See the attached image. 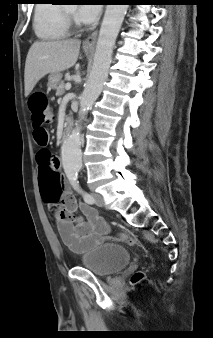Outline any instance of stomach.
I'll return each mask as SVG.
<instances>
[{
    "instance_id": "obj_1",
    "label": "stomach",
    "mask_w": 213,
    "mask_h": 338,
    "mask_svg": "<svg viewBox=\"0 0 213 338\" xmlns=\"http://www.w3.org/2000/svg\"><path fill=\"white\" fill-rule=\"evenodd\" d=\"M85 52H89L90 49L84 48ZM62 78V74L60 72L50 73L48 76V89H56L59 85Z\"/></svg>"
}]
</instances>
